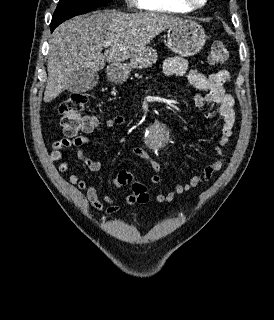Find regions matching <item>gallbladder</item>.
<instances>
[{"mask_svg":"<svg viewBox=\"0 0 274 320\" xmlns=\"http://www.w3.org/2000/svg\"><path fill=\"white\" fill-rule=\"evenodd\" d=\"M98 80L99 76L94 72V68H70L66 85L70 94H79L95 88Z\"/></svg>","mask_w":274,"mask_h":320,"instance_id":"1","label":"gallbladder"}]
</instances>
